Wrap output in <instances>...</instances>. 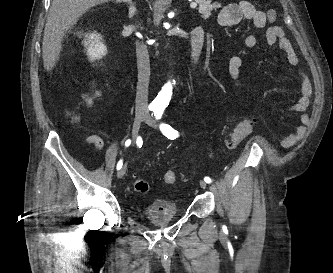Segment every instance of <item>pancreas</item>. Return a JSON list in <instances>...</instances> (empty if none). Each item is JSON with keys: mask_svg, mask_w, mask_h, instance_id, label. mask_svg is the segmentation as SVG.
Wrapping results in <instances>:
<instances>
[{"mask_svg": "<svg viewBox=\"0 0 333 273\" xmlns=\"http://www.w3.org/2000/svg\"><path fill=\"white\" fill-rule=\"evenodd\" d=\"M199 4V13L202 14V18L208 19L211 15V11L217 8V5L211 4L209 0H197Z\"/></svg>", "mask_w": 333, "mask_h": 273, "instance_id": "1", "label": "pancreas"}]
</instances>
